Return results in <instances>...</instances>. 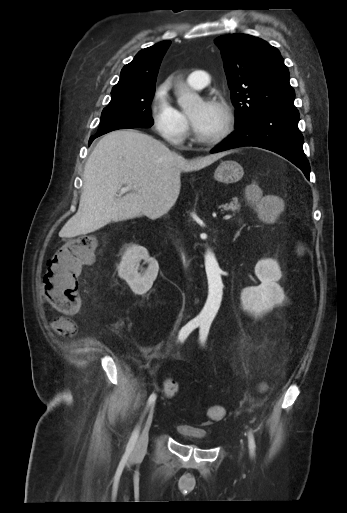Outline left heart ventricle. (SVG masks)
<instances>
[{"mask_svg": "<svg viewBox=\"0 0 347 513\" xmlns=\"http://www.w3.org/2000/svg\"><path fill=\"white\" fill-rule=\"evenodd\" d=\"M189 114L193 123L197 119L206 116L204 124L199 128L195 127L198 134L203 138H212L223 128L224 114L222 109L216 104L198 101Z\"/></svg>", "mask_w": 347, "mask_h": 513, "instance_id": "b2bd125f", "label": "left heart ventricle"}]
</instances>
